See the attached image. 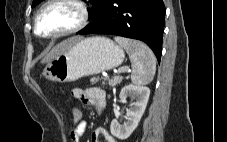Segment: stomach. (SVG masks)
<instances>
[{
	"instance_id": "obj_1",
	"label": "stomach",
	"mask_w": 227,
	"mask_h": 142,
	"mask_svg": "<svg viewBox=\"0 0 227 142\" xmlns=\"http://www.w3.org/2000/svg\"><path fill=\"white\" fill-rule=\"evenodd\" d=\"M124 57V50L112 40L93 36L75 42L51 60L43 70V76L50 81L73 82L118 67Z\"/></svg>"
}]
</instances>
